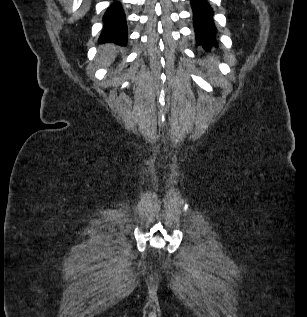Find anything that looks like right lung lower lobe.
<instances>
[{"instance_id":"98d812e1","label":"right lung lower lobe","mask_w":307,"mask_h":317,"mask_svg":"<svg viewBox=\"0 0 307 317\" xmlns=\"http://www.w3.org/2000/svg\"><path fill=\"white\" fill-rule=\"evenodd\" d=\"M103 23L104 27L99 41L102 43L113 42L120 46H126L128 41L126 18L121 4L116 0L104 14Z\"/></svg>"}]
</instances>
